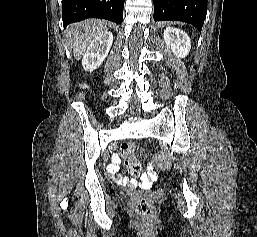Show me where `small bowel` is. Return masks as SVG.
Instances as JSON below:
<instances>
[{
	"label": "small bowel",
	"instance_id": "obj_1",
	"mask_svg": "<svg viewBox=\"0 0 257 237\" xmlns=\"http://www.w3.org/2000/svg\"><path fill=\"white\" fill-rule=\"evenodd\" d=\"M119 165L120 161L117 157H115L110 164L108 171L112 174L118 183L126 184L129 179L125 174L119 173ZM156 178V175L150 170L147 174L140 176L137 179V182L142 186H148L151 181Z\"/></svg>",
	"mask_w": 257,
	"mask_h": 237
}]
</instances>
